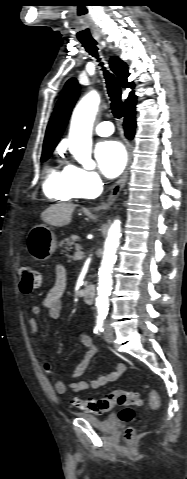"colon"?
Returning a JSON list of instances; mask_svg holds the SVG:
<instances>
[{
  "label": "colon",
  "instance_id": "1",
  "mask_svg": "<svg viewBox=\"0 0 187 479\" xmlns=\"http://www.w3.org/2000/svg\"><path fill=\"white\" fill-rule=\"evenodd\" d=\"M20 279V289L23 293H30L41 285V273L29 265H20L18 268ZM141 403L139 393L136 390L116 389L109 392L100 399L74 400L73 406L88 413L103 414L112 408L118 406L121 408L119 417L124 422H131L134 419L132 406ZM149 407L156 409L159 407V396L154 391H150ZM133 436V429L126 430L127 439Z\"/></svg>",
  "mask_w": 187,
  "mask_h": 479
}]
</instances>
